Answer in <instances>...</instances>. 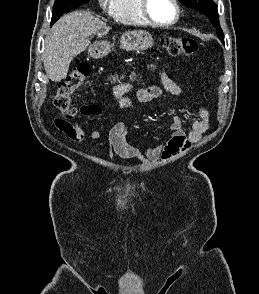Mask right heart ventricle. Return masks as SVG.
Listing matches in <instances>:
<instances>
[{
	"label": "right heart ventricle",
	"mask_w": 259,
	"mask_h": 294,
	"mask_svg": "<svg viewBox=\"0 0 259 294\" xmlns=\"http://www.w3.org/2000/svg\"><path fill=\"white\" fill-rule=\"evenodd\" d=\"M111 16L126 25H150L140 11V0H113L110 9Z\"/></svg>",
	"instance_id": "right-heart-ventricle-1"
}]
</instances>
